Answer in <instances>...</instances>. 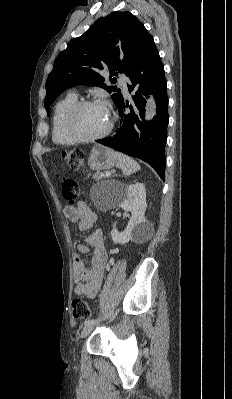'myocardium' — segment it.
Masks as SVG:
<instances>
[{
  "mask_svg": "<svg viewBox=\"0 0 232 399\" xmlns=\"http://www.w3.org/2000/svg\"><path fill=\"white\" fill-rule=\"evenodd\" d=\"M95 104H102V102L99 100H95V99L80 100L76 104H74L71 107V109L68 111V113L66 114L65 121H64L65 131L68 134V136L77 143H95L98 141H102L105 138H107L112 133V131L114 129L115 121H114V118L112 117V115L110 114V123H109L108 128L102 134H100L98 136L83 137L75 131L74 119H75L76 115L78 114V112L86 106L95 105Z\"/></svg>",
  "mask_w": 232,
  "mask_h": 399,
  "instance_id": "myocardium-1",
  "label": "myocardium"
}]
</instances>
